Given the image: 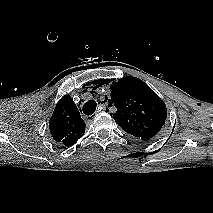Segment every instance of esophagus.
Listing matches in <instances>:
<instances>
[{"label": "esophagus", "instance_id": "obj_1", "mask_svg": "<svg viewBox=\"0 0 213 213\" xmlns=\"http://www.w3.org/2000/svg\"><path fill=\"white\" fill-rule=\"evenodd\" d=\"M101 106H102V108H103L104 111L107 109V105L102 104ZM91 119H92V118H91Z\"/></svg>", "mask_w": 213, "mask_h": 213}]
</instances>
